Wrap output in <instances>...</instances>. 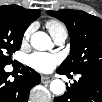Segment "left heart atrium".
<instances>
[{
  "label": "left heart atrium",
  "instance_id": "obj_1",
  "mask_svg": "<svg viewBox=\"0 0 102 102\" xmlns=\"http://www.w3.org/2000/svg\"><path fill=\"white\" fill-rule=\"evenodd\" d=\"M59 63V56L37 52L29 57V65L39 72H50Z\"/></svg>",
  "mask_w": 102,
  "mask_h": 102
}]
</instances>
